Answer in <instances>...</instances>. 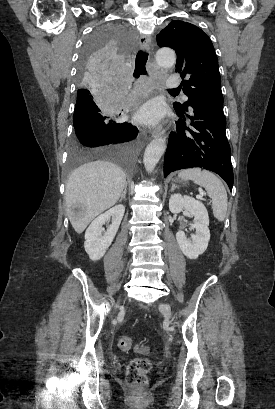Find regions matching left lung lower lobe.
<instances>
[{
    "instance_id": "left-lung-lower-lobe-1",
    "label": "left lung lower lobe",
    "mask_w": 275,
    "mask_h": 409,
    "mask_svg": "<svg viewBox=\"0 0 275 409\" xmlns=\"http://www.w3.org/2000/svg\"><path fill=\"white\" fill-rule=\"evenodd\" d=\"M177 114V131L170 134L165 153L164 177L172 171L202 167L219 174L232 191L233 170L223 109L193 106ZM186 120H191L189 126Z\"/></svg>"
}]
</instances>
